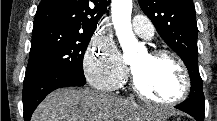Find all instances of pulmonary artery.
Listing matches in <instances>:
<instances>
[{
	"label": "pulmonary artery",
	"mask_w": 217,
	"mask_h": 121,
	"mask_svg": "<svg viewBox=\"0 0 217 121\" xmlns=\"http://www.w3.org/2000/svg\"><path fill=\"white\" fill-rule=\"evenodd\" d=\"M132 27L137 35L145 39H151L155 32L151 21L143 15H135L133 17Z\"/></svg>",
	"instance_id": "e3ab8cb5"
}]
</instances>
